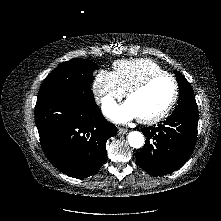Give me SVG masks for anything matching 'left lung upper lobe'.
Listing matches in <instances>:
<instances>
[{"instance_id":"5c2ea615","label":"left lung upper lobe","mask_w":221,"mask_h":221,"mask_svg":"<svg viewBox=\"0 0 221 221\" xmlns=\"http://www.w3.org/2000/svg\"><path fill=\"white\" fill-rule=\"evenodd\" d=\"M175 74L179 85V93H180L178 106L175 108V110H180L184 108L198 109L190 83L178 71H175Z\"/></svg>"}]
</instances>
